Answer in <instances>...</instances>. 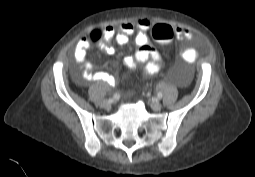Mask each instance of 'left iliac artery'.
<instances>
[{
  "instance_id": "obj_1",
  "label": "left iliac artery",
  "mask_w": 255,
  "mask_h": 177,
  "mask_svg": "<svg viewBox=\"0 0 255 177\" xmlns=\"http://www.w3.org/2000/svg\"><path fill=\"white\" fill-rule=\"evenodd\" d=\"M157 97H158V99H161V98H162V93H161V92H158V93H157Z\"/></svg>"
}]
</instances>
